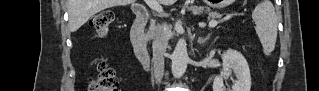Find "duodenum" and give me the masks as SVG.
I'll use <instances>...</instances> for the list:
<instances>
[{"instance_id":"obj_1","label":"duodenum","mask_w":319,"mask_h":91,"mask_svg":"<svg viewBox=\"0 0 319 91\" xmlns=\"http://www.w3.org/2000/svg\"><path fill=\"white\" fill-rule=\"evenodd\" d=\"M135 20L131 29V38L135 55L145 69L150 68V54L147 48L145 27L149 19V13L145 6L135 5L133 8Z\"/></svg>"}]
</instances>
